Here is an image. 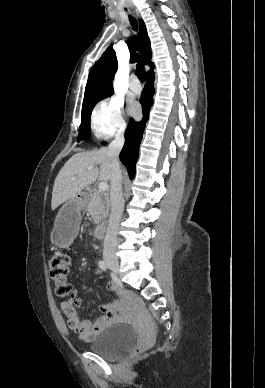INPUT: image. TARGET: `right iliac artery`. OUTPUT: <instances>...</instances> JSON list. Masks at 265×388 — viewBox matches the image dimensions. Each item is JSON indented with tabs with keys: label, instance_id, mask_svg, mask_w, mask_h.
I'll return each mask as SVG.
<instances>
[{
	"label": "right iliac artery",
	"instance_id": "1",
	"mask_svg": "<svg viewBox=\"0 0 265 388\" xmlns=\"http://www.w3.org/2000/svg\"><path fill=\"white\" fill-rule=\"evenodd\" d=\"M98 265L104 271L108 269L107 263L104 260L99 261Z\"/></svg>",
	"mask_w": 265,
	"mask_h": 388
}]
</instances>
